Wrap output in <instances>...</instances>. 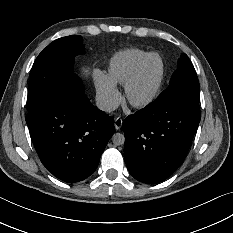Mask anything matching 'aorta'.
Masks as SVG:
<instances>
[{
    "label": "aorta",
    "mask_w": 233,
    "mask_h": 233,
    "mask_svg": "<svg viewBox=\"0 0 233 233\" xmlns=\"http://www.w3.org/2000/svg\"><path fill=\"white\" fill-rule=\"evenodd\" d=\"M112 142H113V144H115L117 146L123 145L125 142V137L121 133H115L112 136Z\"/></svg>",
    "instance_id": "1"
}]
</instances>
